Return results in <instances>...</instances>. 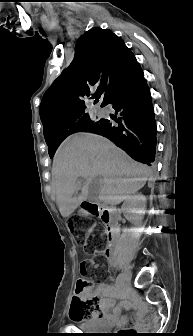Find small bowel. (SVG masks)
Instances as JSON below:
<instances>
[{
  "mask_svg": "<svg viewBox=\"0 0 193 336\" xmlns=\"http://www.w3.org/2000/svg\"><path fill=\"white\" fill-rule=\"evenodd\" d=\"M87 294H96L101 298L102 309L93 317V320L101 319L107 325H122L128 323V319L121 317V309L115 307V296L111 286L99 283L94 289H90ZM130 299L131 294L125 293L122 300V306L126 308L130 307ZM111 310L112 312H110ZM146 322L147 318L141 314L135 318V323L139 326L145 325Z\"/></svg>",
  "mask_w": 193,
  "mask_h": 336,
  "instance_id": "obj_1",
  "label": "small bowel"
}]
</instances>
